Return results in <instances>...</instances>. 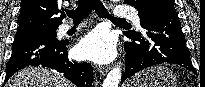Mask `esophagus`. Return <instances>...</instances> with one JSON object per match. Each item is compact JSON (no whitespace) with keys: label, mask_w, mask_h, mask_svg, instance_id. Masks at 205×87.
Returning <instances> with one entry per match:
<instances>
[{"label":"esophagus","mask_w":205,"mask_h":87,"mask_svg":"<svg viewBox=\"0 0 205 87\" xmlns=\"http://www.w3.org/2000/svg\"><path fill=\"white\" fill-rule=\"evenodd\" d=\"M109 70H110V67H109V66H99V67H98V71H99L102 75H106Z\"/></svg>","instance_id":"esophagus-1"}]
</instances>
